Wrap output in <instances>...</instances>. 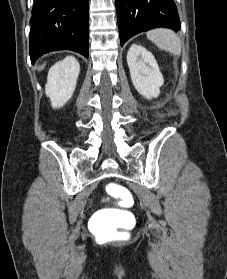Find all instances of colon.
<instances>
[{"instance_id":"obj_1","label":"colon","mask_w":227,"mask_h":279,"mask_svg":"<svg viewBox=\"0 0 227 279\" xmlns=\"http://www.w3.org/2000/svg\"><path fill=\"white\" fill-rule=\"evenodd\" d=\"M106 191L115 197L120 204L127 203L131 198L128 190L115 183L107 184ZM129 218V213L122 207L100 211L96 216V222L92 228L100 236L115 235L123 229Z\"/></svg>"}]
</instances>
